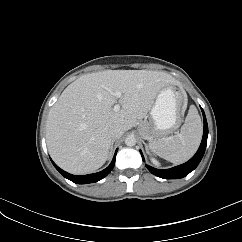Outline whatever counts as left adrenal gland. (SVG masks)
<instances>
[{"mask_svg": "<svg viewBox=\"0 0 242 242\" xmlns=\"http://www.w3.org/2000/svg\"><path fill=\"white\" fill-rule=\"evenodd\" d=\"M147 153H149L148 145L144 143Z\"/></svg>", "mask_w": 242, "mask_h": 242, "instance_id": "1", "label": "left adrenal gland"}]
</instances>
